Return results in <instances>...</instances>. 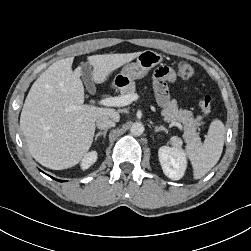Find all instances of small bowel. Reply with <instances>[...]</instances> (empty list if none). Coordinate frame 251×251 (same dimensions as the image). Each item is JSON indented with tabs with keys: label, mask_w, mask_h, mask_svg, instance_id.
<instances>
[{
	"label": "small bowel",
	"mask_w": 251,
	"mask_h": 251,
	"mask_svg": "<svg viewBox=\"0 0 251 251\" xmlns=\"http://www.w3.org/2000/svg\"><path fill=\"white\" fill-rule=\"evenodd\" d=\"M176 82L175 73L168 67L159 68L154 75V89L156 96L160 102L168 99L167 83Z\"/></svg>",
	"instance_id": "obj_1"
}]
</instances>
